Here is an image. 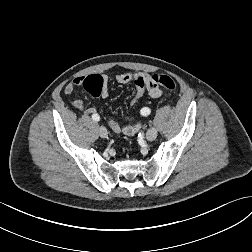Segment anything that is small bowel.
Returning a JSON list of instances; mask_svg holds the SVG:
<instances>
[{
	"label": "small bowel",
	"instance_id": "c3829d8e",
	"mask_svg": "<svg viewBox=\"0 0 252 252\" xmlns=\"http://www.w3.org/2000/svg\"><path fill=\"white\" fill-rule=\"evenodd\" d=\"M117 82L122 83V84H127V83H136L138 79H143L145 82L146 88L149 92V95L152 98H159L162 95V90L156 84L153 80L152 77L149 74L146 73H118L115 76ZM85 77L84 76H79L74 78L71 82H69L65 87H64V93L66 95H72L75 91L76 86H81ZM102 97H107L108 96V90L105 89L101 95ZM71 104L73 107H75L77 110L83 112L86 115H93L97 114L96 109L90 105L85 104L81 99H74L71 101ZM108 124L110 128L116 132V133H122L127 136H132L134 135L141 127L140 123H135L133 125H127V126H121L119 123L113 119L112 117L108 118Z\"/></svg>",
	"mask_w": 252,
	"mask_h": 252
}]
</instances>
